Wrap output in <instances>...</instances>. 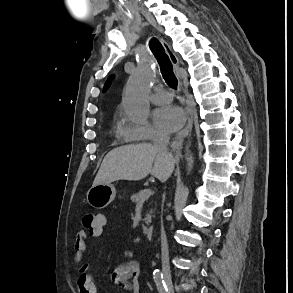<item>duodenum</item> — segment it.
Returning a JSON list of instances; mask_svg holds the SVG:
<instances>
[{
  "mask_svg": "<svg viewBox=\"0 0 293 293\" xmlns=\"http://www.w3.org/2000/svg\"><path fill=\"white\" fill-rule=\"evenodd\" d=\"M146 234L149 239H153L154 238V229L152 227H147Z\"/></svg>",
  "mask_w": 293,
  "mask_h": 293,
  "instance_id": "obj_1",
  "label": "duodenum"
}]
</instances>
